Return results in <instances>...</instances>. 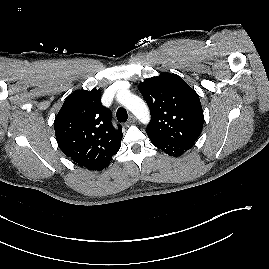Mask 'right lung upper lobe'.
Masks as SVG:
<instances>
[{"label": "right lung upper lobe", "instance_id": "1", "mask_svg": "<svg viewBox=\"0 0 269 269\" xmlns=\"http://www.w3.org/2000/svg\"><path fill=\"white\" fill-rule=\"evenodd\" d=\"M54 129L63 153L88 170L109 162L121 146V126L113 127L97 89L70 94L55 118Z\"/></svg>", "mask_w": 269, "mask_h": 269}]
</instances>
